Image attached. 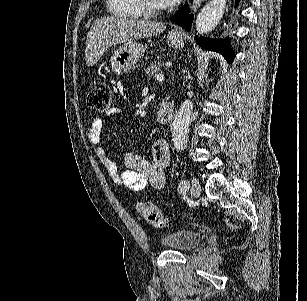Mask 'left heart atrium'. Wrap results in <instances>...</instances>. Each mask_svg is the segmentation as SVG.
<instances>
[{"label":"left heart atrium","mask_w":307,"mask_h":301,"mask_svg":"<svg viewBox=\"0 0 307 301\" xmlns=\"http://www.w3.org/2000/svg\"><path fill=\"white\" fill-rule=\"evenodd\" d=\"M160 4H178L180 0H159Z\"/></svg>","instance_id":"obj_1"}]
</instances>
